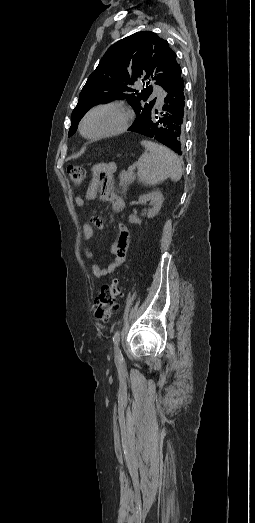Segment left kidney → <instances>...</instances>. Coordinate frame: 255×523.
<instances>
[{"instance_id":"obj_1","label":"left kidney","mask_w":255,"mask_h":523,"mask_svg":"<svg viewBox=\"0 0 255 523\" xmlns=\"http://www.w3.org/2000/svg\"><path fill=\"white\" fill-rule=\"evenodd\" d=\"M138 202L139 204H146V202H150L153 208L148 210L147 216L148 218H154L162 206L163 196L161 192H156V190H154V192H150V194L139 196ZM129 222H131V224H141V220H139L138 216H135V214H131V216H129Z\"/></svg>"}]
</instances>
